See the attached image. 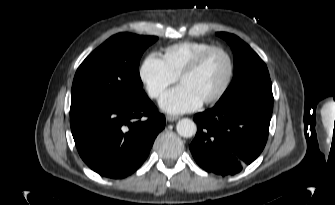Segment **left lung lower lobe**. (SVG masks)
<instances>
[{"label":"left lung lower lobe","instance_id":"1","mask_svg":"<svg viewBox=\"0 0 335 205\" xmlns=\"http://www.w3.org/2000/svg\"><path fill=\"white\" fill-rule=\"evenodd\" d=\"M272 111L269 101L239 97L196 114L199 127L190 145L194 159L207 172H240L264 149Z\"/></svg>","mask_w":335,"mask_h":205}]
</instances>
